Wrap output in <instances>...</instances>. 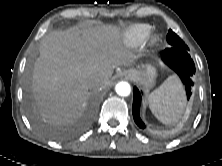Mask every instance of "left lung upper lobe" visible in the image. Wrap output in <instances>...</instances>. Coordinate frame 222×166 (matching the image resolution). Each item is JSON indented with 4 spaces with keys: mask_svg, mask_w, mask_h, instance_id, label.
<instances>
[{
    "mask_svg": "<svg viewBox=\"0 0 222 166\" xmlns=\"http://www.w3.org/2000/svg\"><path fill=\"white\" fill-rule=\"evenodd\" d=\"M166 39H167V42L172 47L189 49L188 46L184 43V41L177 34H175L172 30L168 31Z\"/></svg>",
    "mask_w": 222,
    "mask_h": 166,
    "instance_id": "obj_1",
    "label": "left lung upper lobe"
}]
</instances>
